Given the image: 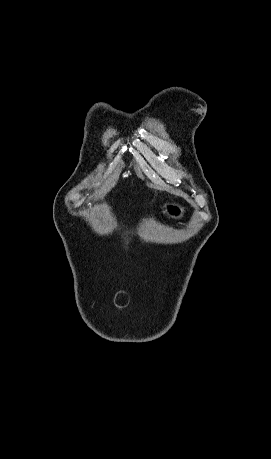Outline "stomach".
Instances as JSON below:
<instances>
[{"instance_id": "stomach-1", "label": "stomach", "mask_w": 271, "mask_h": 459, "mask_svg": "<svg viewBox=\"0 0 271 459\" xmlns=\"http://www.w3.org/2000/svg\"><path fill=\"white\" fill-rule=\"evenodd\" d=\"M184 208L182 206H177V204H166L163 208V214H166L168 218H173V220H180L184 216Z\"/></svg>"}]
</instances>
